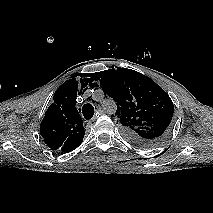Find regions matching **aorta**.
I'll return each instance as SVG.
<instances>
[{"label": "aorta", "mask_w": 213, "mask_h": 213, "mask_svg": "<svg viewBox=\"0 0 213 213\" xmlns=\"http://www.w3.org/2000/svg\"><path fill=\"white\" fill-rule=\"evenodd\" d=\"M102 103H103V106H104L105 110L107 111V113H109V114L115 113L116 105L112 100H110L108 98H103Z\"/></svg>", "instance_id": "aorta-1"}]
</instances>
